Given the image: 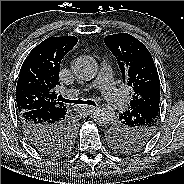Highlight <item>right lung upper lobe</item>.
I'll use <instances>...</instances> for the list:
<instances>
[{"label": "right lung upper lobe", "mask_w": 184, "mask_h": 184, "mask_svg": "<svg viewBox=\"0 0 184 184\" xmlns=\"http://www.w3.org/2000/svg\"><path fill=\"white\" fill-rule=\"evenodd\" d=\"M78 42L74 36L47 38L25 59L16 87L17 112L42 110L64 113L66 107L57 102L54 89L59 82L62 58Z\"/></svg>", "instance_id": "obj_1"}]
</instances>
